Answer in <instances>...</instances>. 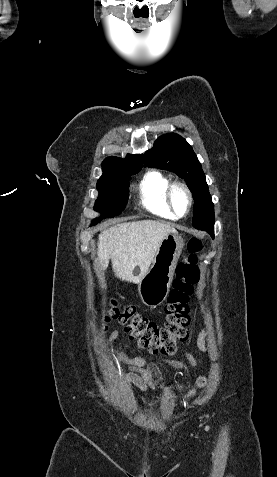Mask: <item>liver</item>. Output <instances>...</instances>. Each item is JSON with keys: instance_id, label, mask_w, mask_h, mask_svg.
Listing matches in <instances>:
<instances>
[{"instance_id": "1", "label": "liver", "mask_w": 277, "mask_h": 477, "mask_svg": "<svg viewBox=\"0 0 277 477\" xmlns=\"http://www.w3.org/2000/svg\"><path fill=\"white\" fill-rule=\"evenodd\" d=\"M175 228L155 220L126 222L105 229L99 234L98 259L103 269L112 261L115 275L123 281L139 283L149 271L156 252ZM140 272L134 275V269Z\"/></svg>"}]
</instances>
